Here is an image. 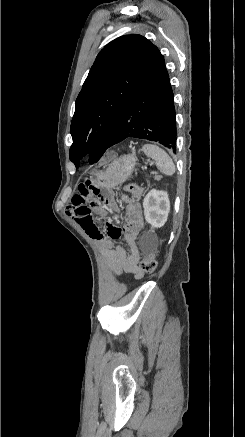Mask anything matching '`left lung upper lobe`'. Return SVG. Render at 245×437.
<instances>
[{
  "instance_id": "left-lung-upper-lobe-1",
  "label": "left lung upper lobe",
  "mask_w": 245,
  "mask_h": 437,
  "mask_svg": "<svg viewBox=\"0 0 245 437\" xmlns=\"http://www.w3.org/2000/svg\"><path fill=\"white\" fill-rule=\"evenodd\" d=\"M158 48L141 35L116 38L97 55L75 103L70 133V160L90 153L98 161L107 149L127 100L147 72Z\"/></svg>"
}]
</instances>
